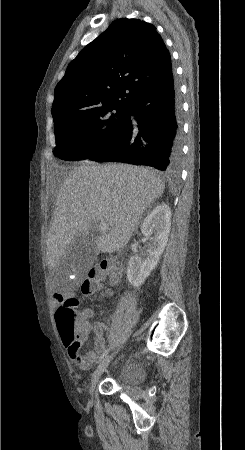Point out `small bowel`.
Returning a JSON list of instances; mask_svg holds the SVG:
<instances>
[{
  "mask_svg": "<svg viewBox=\"0 0 245 450\" xmlns=\"http://www.w3.org/2000/svg\"><path fill=\"white\" fill-rule=\"evenodd\" d=\"M102 290L101 285L95 286L91 291L87 293H96ZM113 295L112 290H106L102 292V296L111 297ZM94 312L91 309H87L83 311L79 320L85 322L87 324L88 333L92 332L95 336L94 343V351L88 352L86 356L81 355L80 348L82 343L86 340L87 337H78V345L74 343H66L64 342V346L67 348L68 356L70 359L80 368L87 369L91 366V364L96 360L97 355L104 351L105 349V340H104V326L100 323L94 322ZM78 356L81 357L82 361H78Z\"/></svg>",
  "mask_w": 245,
  "mask_h": 450,
  "instance_id": "obj_1",
  "label": "small bowel"
}]
</instances>
